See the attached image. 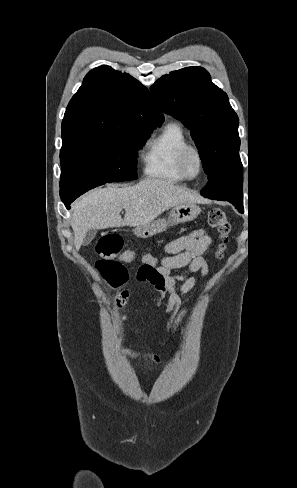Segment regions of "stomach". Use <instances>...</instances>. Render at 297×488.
Returning <instances> with one entry per match:
<instances>
[{
	"label": "stomach",
	"instance_id": "stomach-1",
	"mask_svg": "<svg viewBox=\"0 0 297 488\" xmlns=\"http://www.w3.org/2000/svg\"><path fill=\"white\" fill-rule=\"evenodd\" d=\"M200 213L201 208L196 203L179 204L171 209L168 220L164 218L155 219L150 223L136 226L133 232L137 237L148 238L165 231L169 225L193 221Z\"/></svg>",
	"mask_w": 297,
	"mask_h": 488
}]
</instances>
